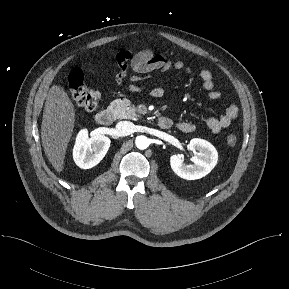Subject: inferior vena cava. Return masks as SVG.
Masks as SVG:
<instances>
[{
  "label": "inferior vena cava",
  "mask_w": 289,
  "mask_h": 289,
  "mask_svg": "<svg viewBox=\"0 0 289 289\" xmlns=\"http://www.w3.org/2000/svg\"><path fill=\"white\" fill-rule=\"evenodd\" d=\"M116 130L119 135L127 136L134 132V124L129 121H120L116 124Z\"/></svg>",
  "instance_id": "obj_1"
}]
</instances>
